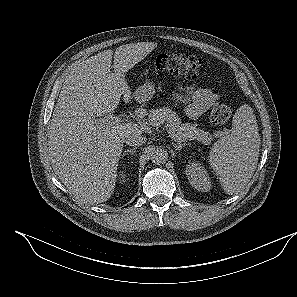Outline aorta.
<instances>
[{"mask_svg": "<svg viewBox=\"0 0 297 297\" xmlns=\"http://www.w3.org/2000/svg\"><path fill=\"white\" fill-rule=\"evenodd\" d=\"M168 159V153L162 148H156L151 152V161L154 164H164Z\"/></svg>", "mask_w": 297, "mask_h": 297, "instance_id": "1", "label": "aorta"}]
</instances>
